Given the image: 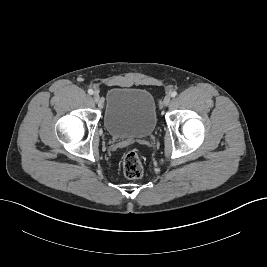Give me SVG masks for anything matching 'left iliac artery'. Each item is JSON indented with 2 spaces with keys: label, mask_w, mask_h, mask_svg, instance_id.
Returning a JSON list of instances; mask_svg holds the SVG:
<instances>
[{
  "label": "left iliac artery",
  "mask_w": 267,
  "mask_h": 267,
  "mask_svg": "<svg viewBox=\"0 0 267 267\" xmlns=\"http://www.w3.org/2000/svg\"><path fill=\"white\" fill-rule=\"evenodd\" d=\"M177 95V92L176 91H173L172 93H171V97H175Z\"/></svg>",
  "instance_id": "1"
}]
</instances>
